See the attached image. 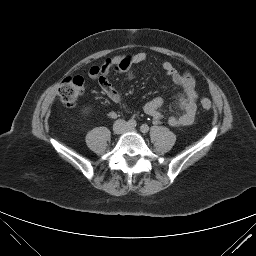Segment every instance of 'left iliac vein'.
Masks as SVG:
<instances>
[{
    "label": "left iliac vein",
    "mask_w": 256,
    "mask_h": 256,
    "mask_svg": "<svg viewBox=\"0 0 256 256\" xmlns=\"http://www.w3.org/2000/svg\"><path fill=\"white\" fill-rule=\"evenodd\" d=\"M126 131H129V132H135V131H136V129H135V128H133V127H127V128H126Z\"/></svg>",
    "instance_id": "1"
}]
</instances>
